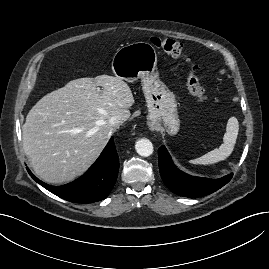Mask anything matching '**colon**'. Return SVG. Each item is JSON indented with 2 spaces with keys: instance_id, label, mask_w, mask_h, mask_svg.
<instances>
[{
  "instance_id": "colon-1",
  "label": "colon",
  "mask_w": 269,
  "mask_h": 269,
  "mask_svg": "<svg viewBox=\"0 0 269 269\" xmlns=\"http://www.w3.org/2000/svg\"><path fill=\"white\" fill-rule=\"evenodd\" d=\"M152 45L173 58L182 59L185 62L186 84L190 94L199 102H206L207 95L197 77V64L186 53L184 45L170 38L154 37L151 39Z\"/></svg>"
}]
</instances>
